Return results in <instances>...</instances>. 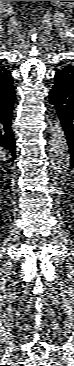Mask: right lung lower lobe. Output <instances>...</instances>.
<instances>
[{
    "label": "right lung lower lobe",
    "instance_id": "right-lung-lower-lobe-1",
    "mask_svg": "<svg viewBox=\"0 0 74 366\" xmlns=\"http://www.w3.org/2000/svg\"><path fill=\"white\" fill-rule=\"evenodd\" d=\"M15 91L11 73L0 80V148L9 150L16 157V144L11 130L12 113L14 109Z\"/></svg>",
    "mask_w": 74,
    "mask_h": 366
}]
</instances>
